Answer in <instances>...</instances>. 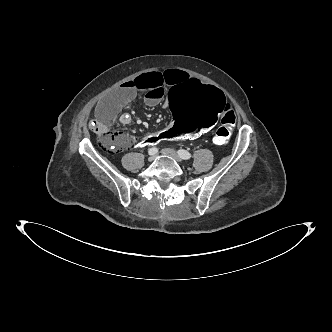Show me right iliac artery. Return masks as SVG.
<instances>
[{
  "label": "right iliac artery",
  "instance_id": "1",
  "mask_svg": "<svg viewBox=\"0 0 332 332\" xmlns=\"http://www.w3.org/2000/svg\"><path fill=\"white\" fill-rule=\"evenodd\" d=\"M157 153H158V149H157L156 147L150 148V149L148 150V154H149V155H155V154H157Z\"/></svg>",
  "mask_w": 332,
  "mask_h": 332
}]
</instances>
